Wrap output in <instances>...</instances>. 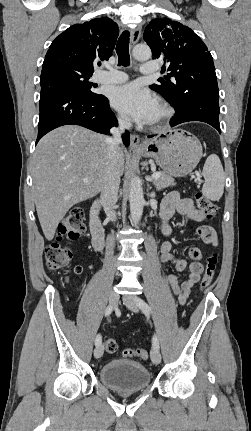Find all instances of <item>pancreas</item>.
Listing matches in <instances>:
<instances>
[{
	"mask_svg": "<svg viewBox=\"0 0 251 431\" xmlns=\"http://www.w3.org/2000/svg\"><path fill=\"white\" fill-rule=\"evenodd\" d=\"M159 175V178L153 180V184L157 190L175 185L174 179L171 176L161 172H159Z\"/></svg>",
	"mask_w": 251,
	"mask_h": 431,
	"instance_id": "obj_1",
	"label": "pancreas"
}]
</instances>
